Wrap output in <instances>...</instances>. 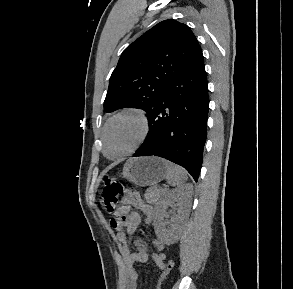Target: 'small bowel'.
Segmentation results:
<instances>
[{
  "label": "small bowel",
  "mask_w": 293,
  "mask_h": 289,
  "mask_svg": "<svg viewBox=\"0 0 293 289\" xmlns=\"http://www.w3.org/2000/svg\"><path fill=\"white\" fill-rule=\"evenodd\" d=\"M137 208L145 215V223L150 224L155 216L154 207L145 203L138 193L126 192L121 200V206L115 210L112 218L122 221V226L117 229V244L122 257L123 271L125 276L126 289H138L140 274L135 269V264L147 263L150 259L159 269H163L166 260L164 243L158 238L152 239L155 252L149 253L147 244L142 240H135V250H131L128 238L134 234L141 222L138 212L132 211ZM112 226V225H111ZM125 227V230H120Z\"/></svg>",
  "instance_id": "c3829d8e"
}]
</instances>
